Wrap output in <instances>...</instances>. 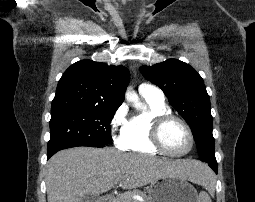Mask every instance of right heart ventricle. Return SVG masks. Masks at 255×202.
<instances>
[{"instance_id": "1", "label": "right heart ventricle", "mask_w": 255, "mask_h": 202, "mask_svg": "<svg viewBox=\"0 0 255 202\" xmlns=\"http://www.w3.org/2000/svg\"><path fill=\"white\" fill-rule=\"evenodd\" d=\"M147 109L129 119L125 128V149L133 152L159 154L150 141V128L155 117L170 113L164 101L145 98Z\"/></svg>"}]
</instances>
